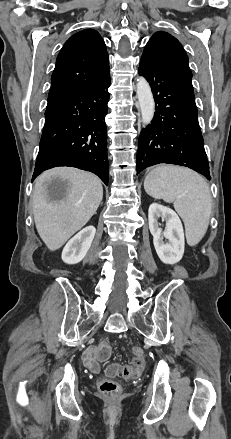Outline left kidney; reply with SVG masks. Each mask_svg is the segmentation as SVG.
Listing matches in <instances>:
<instances>
[{
	"label": "left kidney",
	"instance_id": "1",
	"mask_svg": "<svg viewBox=\"0 0 231 439\" xmlns=\"http://www.w3.org/2000/svg\"><path fill=\"white\" fill-rule=\"evenodd\" d=\"M159 218L166 221L164 231L160 228ZM148 222L160 260L165 264L179 262L184 254L185 240L183 226L178 215L168 207L153 203L149 206ZM163 238L168 239V242H164Z\"/></svg>",
	"mask_w": 231,
	"mask_h": 439
}]
</instances>
